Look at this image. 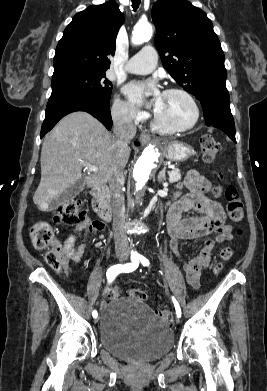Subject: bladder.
Returning a JSON list of instances; mask_svg holds the SVG:
<instances>
[{"mask_svg":"<svg viewBox=\"0 0 267 391\" xmlns=\"http://www.w3.org/2000/svg\"><path fill=\"white\" fill-rule=\"evenodd\" d=\"M100 342L115 357L132 362H151L173 347L170 326L144 301L119 297L110 301L99 319Z\"/></svg>","mask_w":267,"mask_h":391,"instance_id":"31cf9c89","label":"bladder"}]
</instances>
